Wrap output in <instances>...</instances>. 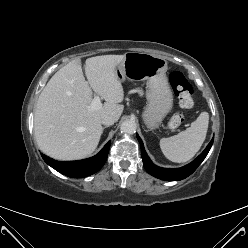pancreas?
<instances>
[{"instance_id":"cf45deb5","label":"pancreas","mask_w":248,"mask_h":248,"mask_svg":"<svg viewBox=\"0 0 248 248\" xmlns=\"http://www.w3.org/2000/svg\"><path fill=\"white\" fill-rule=\"evenodd\" d=\"M135 92H137V93H139V94H143V91L141 90V89H134V90H132V93H135Z\"/></svg>"}]
</instances>
